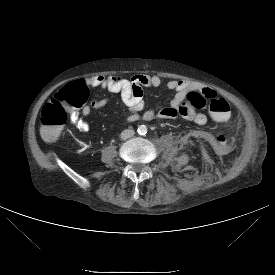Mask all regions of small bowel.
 <instances>
[{"instance_id": "c3829d8e", "label": "small bowel", "mask_w": 275, "mask_h": 275, "mask_svg": "<svg viewBox=\"0 0 275 275\" xmlns=\"http://www.w3.org/2000/svg\"><path fill=\"white\" fill-rule=\"evenodd\" d=\"M162 83L163 80L160 76L147 74H136L130 78L115 75L108 77L97 75L87 79V84L92 87L104 88L111 93L120 95L122 102L128 107L130 112L129 116L125 119L126 122H135L141 118L146 121L172 119L178 115L184 116L199 125L207 122V117L204 114L194 111L185 101V92L188 90H198L202 93L214 91L192 81H168L166 88L175 92L170 105L145 110L143 88L159 87ZM111 102L112 98L109 96L93 99L90 104L83 109V114L87 115L92 109L104 107ZM72 123L81 132H88L90 129L89 123L78 115L72 117ZM211 144L214 151L219 154L228 152L231 147L228 135L223 132L214 134L211 139Z\"/></svg>"}]
</instances>
